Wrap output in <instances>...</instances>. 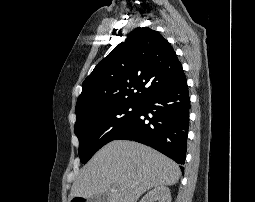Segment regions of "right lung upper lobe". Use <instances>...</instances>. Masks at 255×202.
Segmentation results:
<instances>
[{"label": "right lung upper lobe", "instance_id": "1", "mask_svg": "<svg viewBox=\"0 0 255 202\" xmlns=\"http://www.w3.org/2000/svg\"><path fill=\"white\" fill-rule=\"evenodd\" d=\"M186 80L170 43L157 31L138 27L100 61L82 84L77 119L120 103H141Z\"/></svg>", "mask_w": 255, "mask_h": 202}]
</instances>
